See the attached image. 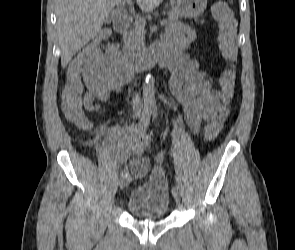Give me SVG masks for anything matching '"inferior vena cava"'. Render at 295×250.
Here are the masks:
<instances>
[{"label": "inferior vena cava", "instance_id": "602c4592", "mask_svg": "<svg viewBox=\"0 0 295 250\" xmlns=\"http://www.w3.org/2000/svg\"><path fill=\"white\" fill-rule=\"evenodd\" d=\"M132 107H133V112L135 116H140L143 105L141 102V99L139 97L138 94H134L133 95V99H132Z\"/></svg>", "mask_w": 295, "mask_h": 250}]
</instances>
